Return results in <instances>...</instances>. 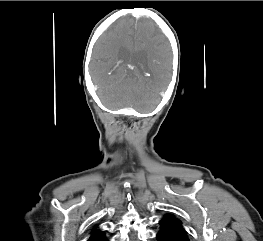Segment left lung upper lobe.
Wrapping results in <instances>:
<instances>
[{"instance_id": "obj_1", "label": "left lung upper lobe", "mask_w": 263, "mask_h": 241, "mask_svg": "<svg viewBox=\"0 0 263 241\" xmlns=\"http://www.w3.org/2000/svg\"><path fill=\"white\" fill-rule=\"evenodd\" d=\"M163 219L168 221V222H170V223H172L173 225L177 226L178 228L184 230L181 221L178 220L177 218H175V216L170 215V214H166V215L163 216Z\"/></svg>"}]
</instances>
